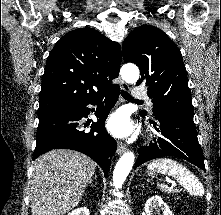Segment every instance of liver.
Returning a JSON list of instances; mask_svg holds the SVG:
<instances>
[{
  "label": "liver",
  "instance_id": "1",
  "mask_svg": "<svg viewBox=\"0 0 221 215\" xmlns=\"http://www.w3.org/2000/svg\"><path fill=\"white\" fill-rule=\"evenodd\" d=\"M96 163L67 149L51 150L32 165L30 202L32 215H64L82 199Z\"/></svg>",
  "mask_w": 221,
  "mask_h": 215
}]
</instances>
